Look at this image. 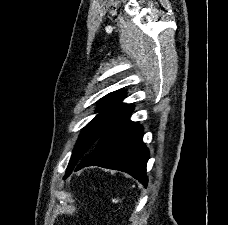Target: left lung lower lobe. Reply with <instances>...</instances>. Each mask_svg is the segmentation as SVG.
I'll use <instances>...</instances> for the list:
<instances>
[{
  "label": "left lung lower lobe",
  "instance_id": "obj_1",
  "mask_svg": "<svg viewBox=\"0 0 228 225\" xmlns=\"http://www.w3.org/2000/svg\"><path fill=\"white\" fill-rule=\"evenodd\" d=\"M132 111L103 133L93 150L79 162L74 171L87 166L120 170L147 186L149 151L142 142L143 127L129 119Z\"/></svg>",
  "mask_w": 228,
  "mask_h": 225
}]
</instances>
